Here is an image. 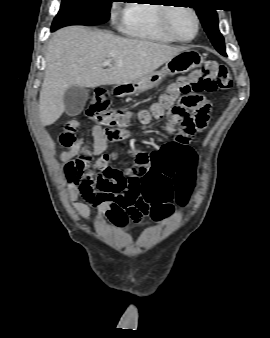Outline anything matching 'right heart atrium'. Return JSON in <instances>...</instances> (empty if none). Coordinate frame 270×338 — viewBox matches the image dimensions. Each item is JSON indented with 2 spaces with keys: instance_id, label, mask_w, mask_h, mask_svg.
I'll return each mask as SVG.
<instances>
[{
  "instance_id": "1",
  "label": "right heart atrium",
  "mask_w": 270,
  "mask_h": 338,
  "mask_svg": "<svg viewBox=\"0 0 270 338\" xmlns=\"http://www.w3.org/2000/svg\"><path fill=\"white\" fill-rule=\"evenodd\" d=\"M117 19H118L117 11H116V9H114V11H113V20L117 21ZM124 20H125V15H123V17L121 18V23H123Z\"/></svg>"
}]
</instances>
